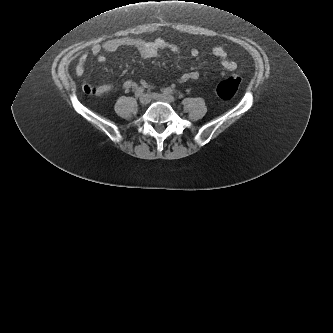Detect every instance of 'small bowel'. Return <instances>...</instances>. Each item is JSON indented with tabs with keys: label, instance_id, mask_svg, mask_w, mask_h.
I'll return each instance as SVG.
<instances>
[{
	"label": "small bowel",
	"instance_id": "1",
	"mask_svg": "<svg viewBox=\"0 0 333 333\" xmlns=\"http://www.w3.org/2000/svg\"><path fill=\"white\" fill-rule=\"evenodd\" d=\"M124 47L136 48L141 56L146 59L156 57L159 51L164 49L169 50L175 54L180 53V49L177 45L166 42L162 39H156L154 41L147 42L138 38H114L107 40L102 44H94L90 47L88 52L83 53L80 56L78 64L75 68V74L78 77H81L85 73L89 53L96 57L99 62L103 63L106 61L104 52H113ZM198 54L199 52L196 48L190 49V55L192 57H196ZM213 55L219 60L223 69L227 71H233L236 69V63L228 58L226 51L222 47H215L213 49ZM199 77L200 74L198 71H190L182 74L178 78V82L185 83L188 81L197 80ZM141 85L149 89L151 88V85L145 81H141ZM136 86L137 84L133 81H126L123 83L124 89H134ZM82 88L83 91L87 94L96 93L97 95H105L113 90V85L111 83H104L94 87L89 83H84Z\"/></svg>",
	"mask_w": 333,
	"mask_h": 333
}]
</instances>
